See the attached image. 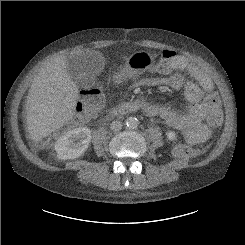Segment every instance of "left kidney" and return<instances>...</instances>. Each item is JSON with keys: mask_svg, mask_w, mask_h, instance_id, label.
Listing matches in <instances>:
<instances>
[{"mask_svg": "<svg viewBox=\"0 0 245 245\" xmlns=\"http://www.w3.org/2000/svg\"><path fill=\"white\" fill-rule=\"evenodd\" d=\"M166 136L170 141H176L177 140V134L175 131L168 130L166 132Z\"/></svg>", "mask_w": 245, "mask_h": 245, "instance_id": "5707ae66", "label": "left kidney"}]
</instances>
